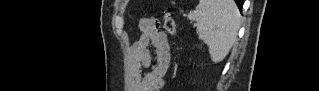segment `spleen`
I'll list each match as a JSON object with an SVG mask.
<instances>
[{
  "label": "spleen",
  "mask_w": 319,
  "mask_h": 91,
  "mask_svg": "<svg viewBox=\"0 0 319 91\" xmlns=\"http://www.w3.org/2000/svg\"><path fill=\"white\" fill-rule=\"evenodd\" d=\"M188 19L197 22V34L209 48L212 62L229 53L240 28V13L233 0H200Z\"/></svg>",
  "instance_id": "obj_1"
}]
</instances>
